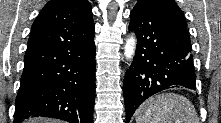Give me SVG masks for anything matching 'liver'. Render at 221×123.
<instances>
[{
  "label": "liver",
  "instance_id": "6515ba94",
  "mask_svg": "<svg viewBox=\"0 0 221 123\" xmlns=\"http://www.w3.org/2000/svg\"><path fill=\"white\" fill-rule=\"evenodd\" d=\"M27 123H59L56 120H50L46 118H34L27 121Z\"/></svg>",
  "mask_w": 221,
  "mask_h": 123
}]
</instances>
